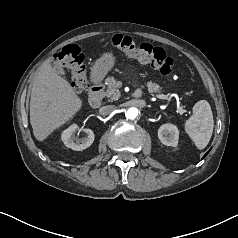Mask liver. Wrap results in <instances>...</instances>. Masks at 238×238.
Masks as SVG:
<instances>
[{
    "label": "liver",
    "mask_w": 238,
    "mask_h": 238,
    "mask_svg": "<svg viewBox=\"0 0 238 238\" xmlns=\"http://www.w3.org/2000/svg\"><path fill=\"white\" fill-rule=\"evenodd\" d=\"M51 61L47 59L38 68L31 92L30 123L38 141H44L82 107V100L51 66Z\"/></svg>",
    "instance_id": "obj_1"
}]
</instances>
